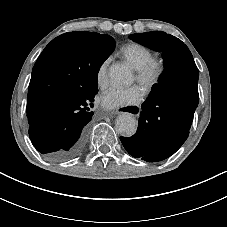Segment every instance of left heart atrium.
<instances>
[{"mask_svg": "<svg viewBox=\"0 0 227 227\" xmlns=\"http://www.w3.org/2000/svg\"><path fill=\"white\" fill-rule=\"evenodd\" d=\"M146 96L141 86L131 88L112 87L101 96V103L108 109L126 108L140 104Z\"/></svg>", "mask_w": 227, "mask_h": 227, "instance_id": "left-heart-atrium-1", "label": "left heart atrium"}]
</instances>
